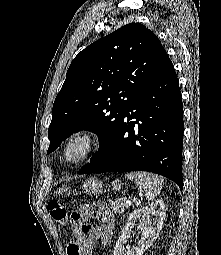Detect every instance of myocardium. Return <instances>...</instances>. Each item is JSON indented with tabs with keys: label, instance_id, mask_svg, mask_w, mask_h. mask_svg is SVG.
Segmentation results:
<instances>
[{
	"label": "myocardium",
	"instance_id": "1",
	"mask_svg": "<svg viewBox=\"0 0 221 255\" xmlns=\"http://www.w3.org/2000/svg\"><path fill=\"white\" fill-rule=\"evenodd\" d=\"M83 145V152L74 160L69 159L68 152L69 150L77 145ZM98 144L97 134L91 129H82L74 133L66 142L63 149V158L64 160L72 165H78L85 161L96 149Z\"/></svg>",
	"mask_w": 221,
	"mask_h": 255
}]
</instances>
